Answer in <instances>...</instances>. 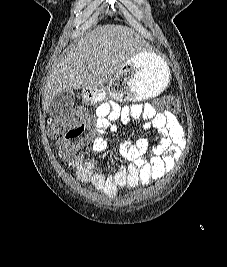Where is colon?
Returning a JSON list of instances; mask_svg holds the SVG:
<instances>
[{
  "instance_id": "obj_1",
  "label": "colon",
  "mask_w": 227,
  "mask_h": 267,
  "mask_svg": "<svg viewBox=\"0 0 227 267\" xmlns=\"http://www.w3.org/2000/svg\"><path fill=\"white\" fill-rule=\"evenodd\" d=\"M159 106L166 107L172 112H177L180 109L178 100L175 97H164L158 102ZM86 117V111L83 107H75L62 116L51 117L45 125V132L52 139L62 137L67 130L74 126L83 123Z\"/></svg>"
}]
</instances>
